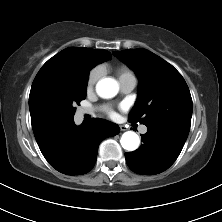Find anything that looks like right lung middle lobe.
Returning a JSON list of instances; mask_svg holds the SVG:
<instances>
[{"label":"right lung middle lobe","instance_id":"1","mask_svg":"<svg viewBox=\"0 0 222 222\" xmlns=\"http://www.w3.org/2000/svg\"><path fill=\"white\" fill-rule=\"evenodd\" d=\"M93 66L78 63L56 70L36 99L35 121L50 123L57 118H73L75 105L86 97L89 71Z\"/></svg>","mask_w":222,"mask_h":222}]
</instances>
